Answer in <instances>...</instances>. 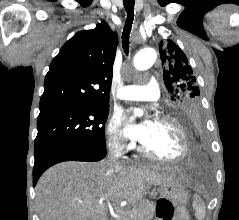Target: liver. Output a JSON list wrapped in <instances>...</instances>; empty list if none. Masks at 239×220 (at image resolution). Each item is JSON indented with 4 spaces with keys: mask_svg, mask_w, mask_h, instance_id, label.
Here are the masks:
<instances>
[{
    "mask_svg": "<svg viewBox=\"0 0 239 220\" xmlns=\"http://www.w3.org/2000/svg\"><path fill=\"white\" fill-rule=\"evenodd\" d=\"M188 183L186 175L142 167L67 161L49 168L36 185L40 220H108L110 201L136 207L151 185Z\"/></svg>",
    "mask_w": 239,
    "mask_h": 220,
    "instance_id": "1",
    "label": "liver"
}]
</instances>
